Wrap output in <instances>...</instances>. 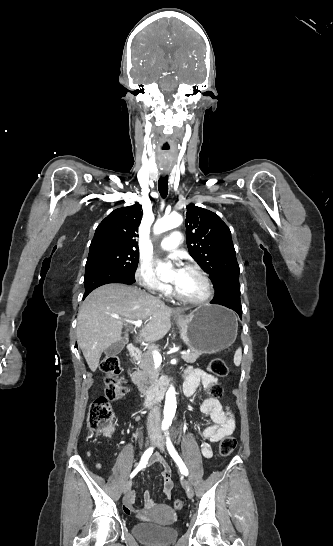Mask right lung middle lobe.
Here are the masks:
<instances>
[{
  "instance_id": "1",
  "label": "right lung middle lobe",
  "mask_w": 333,
  "mask_h": 546,
  "mask_svg": "<svg viewBox=\"0 0 333 546\" xmlns=\"http://www.w3.org/2000/svg\"><path fill=\"white\" fill-rule=\"evenodd\" d=\"M138 260V251L106 247L89 251L86 268L94 265H103L134 275L138 266Z\"/></svg>"
}]
</instances>
